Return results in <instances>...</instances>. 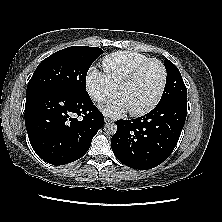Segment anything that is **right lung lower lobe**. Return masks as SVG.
Masks as SVG:
<instances>
[{
	"label": "right lung lower lobe",
	"mask_w": 222,
	"mask_h": 222,
	"mask_svg": "<svg viewBox=\"0 0 222 222\" xmlns=\"http://www.w3.org/2000/svg\"><path fill=\"white\" fill-rule=\"evenodd\" d=\"M25 125L36 154L47 163L64 165L88 151L104 117L88 93L48 89L26 97Z\"/></svg>",
	"instance_id": "obj_1"
}]
</instances>
